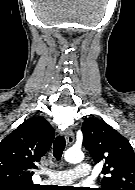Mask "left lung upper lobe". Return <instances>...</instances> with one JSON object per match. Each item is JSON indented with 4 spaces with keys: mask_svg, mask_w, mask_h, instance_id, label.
<instances>
[{
    "mask_svg": "<svg viewBox=\"0 0 135 190\" xmlns=\"http://www.w3.org/2000/svg\"><path fill=\"white\" fill-rule=\"evenodd\" d=\"M81 130L94 161L104 163L100 190H135V153L129 141L99 119L84 121Z\"/></svg>",
    "mask_w": 135,
    "mask_h": 190,
    "instance_id": "obj_1",
    "label": "left lung upper lobe"
}]
</instances>
